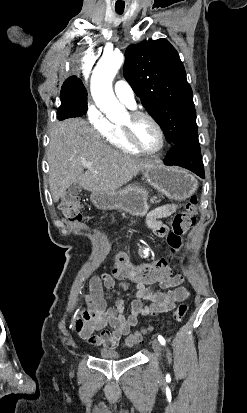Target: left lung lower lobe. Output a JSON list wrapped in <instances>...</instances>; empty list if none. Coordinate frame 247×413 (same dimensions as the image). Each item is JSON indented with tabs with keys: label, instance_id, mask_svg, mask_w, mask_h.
Instances as JSON below:
<instances>
[{
	"label": "left lung lower lobe",
	"instance_id": "0a47b994",
	"mask_svg": "<svg viewBox=\"0 0 247 413\" xmlns=\"http://www.w3.org/2000/svg\"><path fill=\"white\" fill-rule=\"evenodd\" d=\"M165 165H177L189 169L204 178V167L199 142L173 145L164 159Z\"/></svg>",
	"mask_w": 247,
	"mask_h": 413
}]
</instances>
